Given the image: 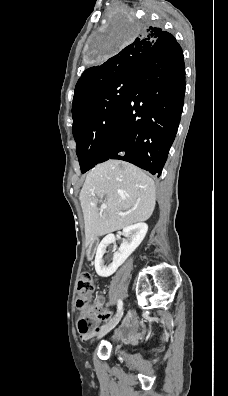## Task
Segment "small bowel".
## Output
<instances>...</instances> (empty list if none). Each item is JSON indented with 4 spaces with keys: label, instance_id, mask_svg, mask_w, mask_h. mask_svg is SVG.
I'll list each match as a JSON object with an SVG mask.
<instances>
[{
    "label": "small bowel",
    "instance_id": "c3829d8e",
    "mask_svg": "<svg viewBox=\"0 0 228 396\" xmlns=\"http://www.w3.org/2000/svg\"><path fill=\"white\" fill-rule=\"evenodd\" d=\"M111 315L110 311L102 310L98 314L97 321L100 323L103 320L107 319ZM99 330V326L97 325L94 330L88 334H81V339L83 341L88 340L92 335H94ZM114 335L118 338H127L129 340H135L138 337L136 332L135 324H132L129 319L125 320L121 326L114 332Z\"/></svg>",
    "mask_w": 228,
    "mask_h": 396
}]
</instances>
